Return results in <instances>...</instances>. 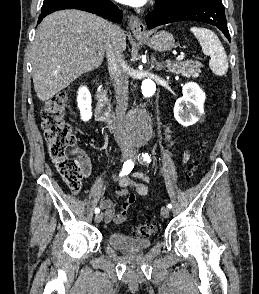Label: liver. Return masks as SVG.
Returning a JSON list of instances; mask_svg holds the SVG:
<instances>
[{
  "instance_id": "obj_1",
  "label": "liver",
  "mask_w": 259,
  "mask_h": 294,
  "mask_svg": "<svg viewBox=\"0 0 259 294\" xmlns=\"http://www.w3.org/2000/svg\"><path fill=\"white\" fill-rule=\"evenodd\" d=\"M112 24L79 10L54 12L39 24L32 53V77L39 100L45 102L84 73L98 68ZM122 51L126 36H119Z\"/></svg>"
}]
</instances>
